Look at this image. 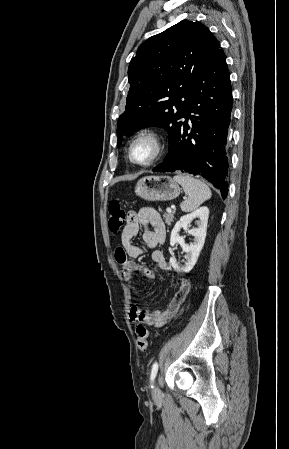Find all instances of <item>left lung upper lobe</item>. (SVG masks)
<instances>
[{"mask_svg": "<svg viewBox=\"0 0 289 449\" xmlns=\"http://www.w3.org/2000/svg\"><path fill=\"white\" fill-rule=\"evenodd\" d=\"M218 49V40L206 26L188 20L141 44L128 68L131 86L118 120L117 145L124 134L149 126L164 128L170 143L192 87Z\"/></svg>", "mask_w": 289, "mask_h": 449, "instance_id": "left-lung-upper-lobe-1", "label": "left lung upper lobe"}]
</instances>
